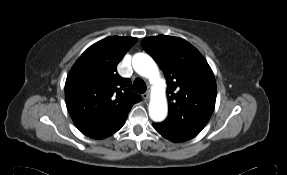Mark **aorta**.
Listing matches in <instances>:
<instances>
[{
  "mask_svg": "<svg viewBox=\"0 0 287 175\" xmlns=\"http://www.w3.org/2000/svg\"><path fill=\"white\" fill-rule=\"evenodd\" d=\"M132 66L139 75L158 81V90L153 94L149 103V116L155 122L163 121L168 112L167 98L165 95V82L160 79L159 70L155 61L145 53L133 56Z\"/></svg>",
  "mask_w": 287,
  "mask_h": 175,
  "instance_id": "1",
  "label": "aorta"
}]
</instances>
